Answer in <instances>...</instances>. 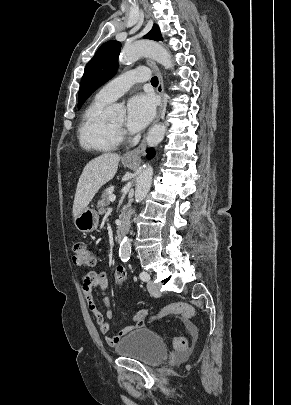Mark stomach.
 I'll list each match as a JSON object with an SVG mask.
<instances>
[{"instance_id":"1","label":"stomach","mask_w":291,"mask_h":405,"mask_svg":"<svg viewBox=\"0 0 291 405\" xmlns=\"http://www.w3.org/2000/svg\"><path fill=\"white\" fill-rule=\"evenodd\" d=\"M74 223L81 232H93L98 227L99 215L95 209L87 207L75 218Z\"/></svg>"}]
</instances>
